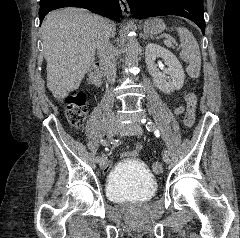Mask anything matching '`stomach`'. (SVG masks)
I'll list each match as a JSON object with an SVG mask.
<instances>
[{
    "label": "stomach",
    "mask_w": 240,
    "mask_h": 238,
    "mask_svg": "<svg viewBox=\"0 0 240 238\" xmlns=\"http://www.w3.org/2000/svg\"><path fill=\"white\" fill-rule=\"evenodd\" d=\"M143 27L146 33L159 34L164 31L166 26L161 19H149L145 21Z\"/></svg>",
    "instance_id": "1"
}]
</instances>
